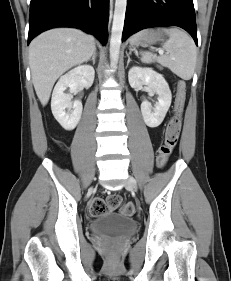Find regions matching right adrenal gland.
<instances>
[{"label": "right adrenal gland", "instance_id": "right-adrenal-gland-1", "mask_svg": "<svg viewBox=\"0 0 231 281\" xmlns=\"http://www.w3.org/2000/svg\"><path fill=\"white\" fill-rule=\"evenodd\" d=\"M96 57H97V52L96 50L94 51L93 55H92V58H91V61L93 62V65L95 64V60H96Z\"/></svg>", "mask_w": 231, "mask_h": 281}]
</instances>
